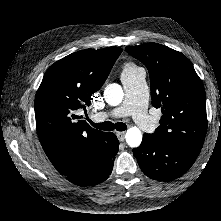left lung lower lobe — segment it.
Listing matches in <instances>:
<instances>
[{
  "label": "left lung lower lobe",
  "mask_w": 221,
  "mask_h": 221,
  "mask_svg": "<svg viewBox=\"0 0 221 221\" xmlns=\"http://www.w3.org/2000/svg\"><path fill=\"white\" fill-rule=\"evenodd\" d=\"M133 154L144 174L154 180L171 181L190 169L199 154L167 141L144 134Z\"/></svg>",
  "instance_id": "obj_1"
}]
</instances>
